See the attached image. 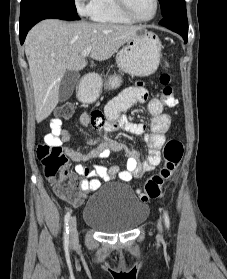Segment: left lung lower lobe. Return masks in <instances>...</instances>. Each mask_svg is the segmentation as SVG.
<instances>
[{
	"label": "left lung lower lobe",
	"mask_w": 227,
	"mask_h": 279,
	"mask_svg": "<svg viewBox=\"0 0 227 279\" xmlns=\"http://www.w3.org/2000/svg\"><path fill=\"white\" fill-rule=\"evenodd\" d=\"M160 25L167 27L173 32L181 35L185 42H187L188 36V22L187 14H172L166 17L159 22Z\"/></svg>",
	"instance_id": "0a47b994"
}]
</instances>
